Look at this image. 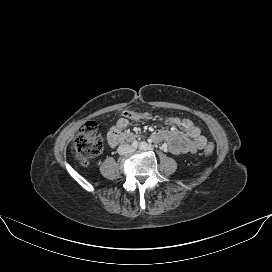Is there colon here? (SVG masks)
<instances>
[{"label": "colon", "mask_w": 272, "mask_h": 272, "mask_svg": "<svg viewBox=\"0 0 272 272\" xmlns=\"http://www.w3.org/2000/svg\"><path fill=\"white\" fill-rule=\"evenodd\" d=\"M122 115L130 120H147L151 117L149 113L138 112L134 109L122 111ZM103 143L95 122H87L80 130L75 140V154L82 165H87L89 161L102 152ZM206 154H212L214 145L209 143L205 148Z\"/></svg>", "instance_id": "5ec220e1"}]
</instances>
